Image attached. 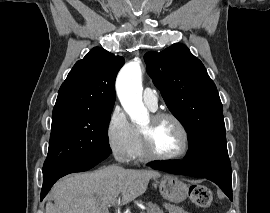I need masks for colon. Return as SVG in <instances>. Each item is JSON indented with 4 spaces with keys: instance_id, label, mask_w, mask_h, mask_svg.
<instances>
[{
    "instance_id": "1",
    "label": "colon",
    "mask_w": 270,
    "mask_h": 213,
    "mask_svg": "<svg viewBox=\"0 0 270 213\" xmlns=\"http://www.w3.org/2000/svg\"><path fill=\"white\" fill-rule=\"evenodd\" d=\"M189 196L192 203L198 208H208L212 203V193L203 185H191Z\"/></svg>"
}]
</instances>
